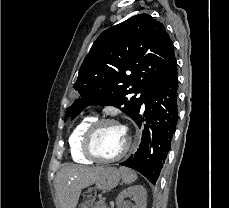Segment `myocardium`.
Segmentation results:
<instances>
[{"instance_id": "myocardium-1", "label": "myocardium", "mask_w": 229, "mask_h": 208, "mask_svg": "<svg viewBox=\"0 0 229 208\" xmlns=\"http://www.w3.org/2000/svg\"><path fill=\"white\" fill-rule=\"evenodd\" d=\"M106 124H114L119 127H121L124 131L125 129L123 128L122 124H120L117 120L115 119H110V118H101V119H96L94 120L89 127L87 128L85 135H84V143L82 144V147L80 149L81 153H85L84 157L85 158H93L94 160L100 161V162H115L118 160L123 159L126 157L131 150L134 147V141L132 137L126 132L128 136V143L124 150L117 154V157H97V152H92V139H96V135L98 131L101 129Z\"/></svg>"}]
</instances>
